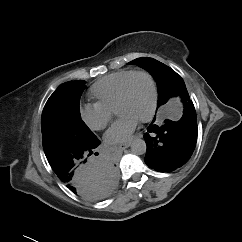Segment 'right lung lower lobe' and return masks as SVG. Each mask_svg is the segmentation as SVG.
<instances>
[{
    "label": "right lung lower lobe",
    "mask_w": 242,
    "mask_h": 242,
    "mask_svg": "<svg viewBox=\"0 0 242 242\" xmlns=\"http://www.w3.org/2000/svg\"><path fill=\"white\" fill-rule=\"evenodd\" d=\"M99 143L97 139L89 147L58 154L48 161L68 189L93 201L110 195L118 179L116 166L111 160L89 158Z\"/></svg>",
    "instance_id": "1"
}]
</instances>
